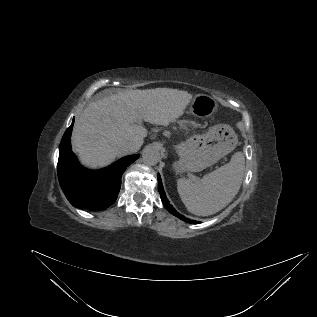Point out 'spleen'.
<instances>
[{
	"label": "spleen",
	"instance_id": "1",
	"mask_svg": "<svg viewBox=\"0 0 317 317\" xmlns=\"http://www.w3.org/2000/svg\"><path fill=\"white\" fill-rule=\"evenodd\" d=\"M244 170V155L236 152L229 163L205 175L201 180L178 179L179 196L192 214H215L225 208L238 193Z\"/></svg>",
	"mask_w": 317,
	"mask_h": 317
}]
</instances>
